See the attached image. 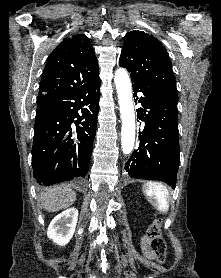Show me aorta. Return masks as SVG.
I'll use <instances>...</instances> for the list:
<instances>
[{"instance_id":"762f6f07","label":"aorta","mask_w":221,"mask_h":278,"mask_svg":"<svg viewBox=\"0 0 221 278\" xmlns=\"http://www.w3.org/2000/svg\"><path fill=\"white\" fill-rule=\"evenodd\" d=\"M114 81L122 119L121 147L123 153L127 155L132 152L135 143V114L128 72L124 68L117 69Z\"/></svg>"}]
</instances>
